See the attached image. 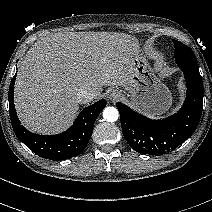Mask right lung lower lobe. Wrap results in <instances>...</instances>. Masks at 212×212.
I'll use <instances>...</instances> for the list:
<instances>
[{
	"mask_svg": "<svg viewBox=\"0 0 212 212\" xmlns=\"http://www.w3.org/2000/svg\"><path fill=\"white\" fill-rule=\"evenodd\" d=\"M15 77L11 80L8 100L12 127L18 139L46 159L65 160L79 155L91 138L95 120L106 106V100L102 99L83 109L67 131L52 136L37 135L26 130L17 117L13 103Z\"/></svg>",
	"mask_w": 212,
	"mask_h": 212,
	"instance_id": "right-lung-lower-lobe-1",
	"label": "right lung lower lobe"
}]
</instances>
